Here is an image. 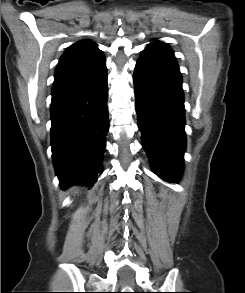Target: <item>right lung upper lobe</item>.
Returning a JSON list of instances; mask_svg holds the SVG:
<instances>
[{
	"mask_svg": "<svg viewBox=\"0 0 245 293\" xmlns=\"http://www.w3.org/2000/svg\"><path fill=\"white\" fill-rule=\"evenodd\" d=\"M105 67V57L92 41L82 40L71 45L57 65L52 95L81 83Z\"/></svg>",
	"mask_w": 245,
	"mask_h": 293,
	"instance_id": "obj_1",
	"label": "right lung upper lobe"
}]
</instances>
